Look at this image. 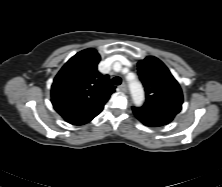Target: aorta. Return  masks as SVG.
<instances>
[{"instance_id": "762f6f07", "label": "aorta", "mask_w": 222, "mask_h": 187, "mask_svg": "<svg viewBox=\"0 0 222 187\" xmlns=\"http://www.w3.org/2000/svg\"><path fill=\"white\" fill-rule=\"evenodd\" d=\"M131 97L135 106H141L144 101V91L139 81L133 80L129 82Z\"/></svg>"}]
</instances>
